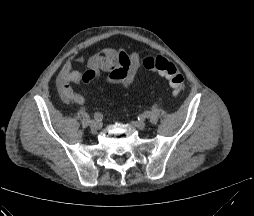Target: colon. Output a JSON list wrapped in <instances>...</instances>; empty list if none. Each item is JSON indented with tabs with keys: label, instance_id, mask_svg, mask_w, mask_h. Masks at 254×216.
Returning a JSON list of instances; mask_svg holds the SVG:
<instances>
[{
	"label": "colon",
	"instance_id": "obj_1",
	"mask_svg": "<svg viewBox=\"0 0 254 216\" xmlns=\"http://www.w3.org/2000/svg\"><path fill=\"white\" fill-rule=\"evenodd\" d=\"M142 65L146 70L165 78L169 82L174 96H178L183 92L184 77L176 65L167 58L162 56L147 57L143 60ZM95 77V71L88 69L82 74V81L91 83Z\"/></svg>",
	"mask_w": 254,
	"mask_h": 216
}]
</instances>
